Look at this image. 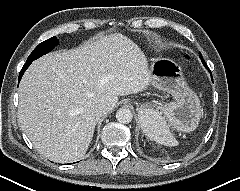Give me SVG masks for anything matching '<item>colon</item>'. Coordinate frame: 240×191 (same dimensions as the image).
I'll return each instance as SVG.
<instances>
[{
    "mask_svg": "<svg viewBox=\"0 0 240 191\" xmlns=\"http://www.w3.org/2000/svg\"><path fill=\"white\" fill-rule=\"evenodd\" d=\"M185 58L189 60L190 56L188 54H185Z\"/></svg>",
    "mask_w": 240,
    "mask_h": 191,
    "instance_id": "1",
    "label": "colon"
}]
</instances>
